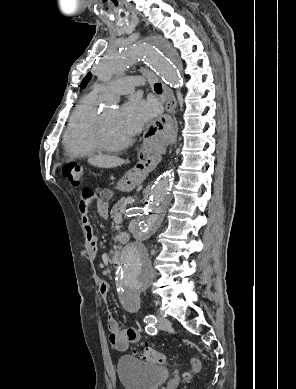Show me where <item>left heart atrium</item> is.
<instances>
[{
	"label": "left heart atrium",
	"instance_id": "obj_1",
	"mask_svg": "<svg viewBox=\"0 0 296 389\" xmlns=\"http://www.w3.org/2000/svg\"><path fill=\"white\" fill-rule=\"evenodd\" d=\"M156 114L153 103L133 97L119 110L118 123L121 130L131 137L138 134Z\"/></svg>",
	"mask_w": 296,
	"mask_h": 389
}]
</instances>
